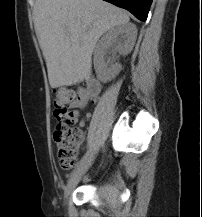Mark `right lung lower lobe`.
<instances>
[{"label": "right lung lower lobe", "mask_w": 202, "mask_h": 217, "mask_svg": "<svg viewBox=\"0 0 202 217\" xmlns=\"http://www.w3.org/2000/svg\"><path fill=\"white\" fill-rule=\"evenodd\" d=\"M118 7L127 9L137 19L146 21L152 0H105Z\"/></svg>", "instance_id": "1"}]
</instances>
